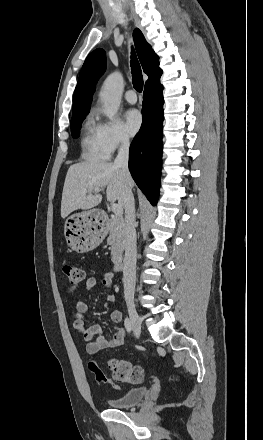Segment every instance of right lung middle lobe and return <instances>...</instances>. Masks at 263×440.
Masks as SVG:
<instances>
[{
	"mask_svg": "<svg viewBox=\"0 0 263 440\" xmlns=\"http://www.w3.org/2000/svg\"><path fill=\"white\" fill-rule=\"evenodd\" d=\"M87 114L88 113H84V114L72 117V119H71V133H72L73 138H77L79 136V130L81 128V124Z\"/></svg>",
	"mask_w": 263,
	"mask_h": 440,
	"instance_id": "right-lung-middle-lobe-1",
	"label": "right lung middle lobe"
}]
</instances>
